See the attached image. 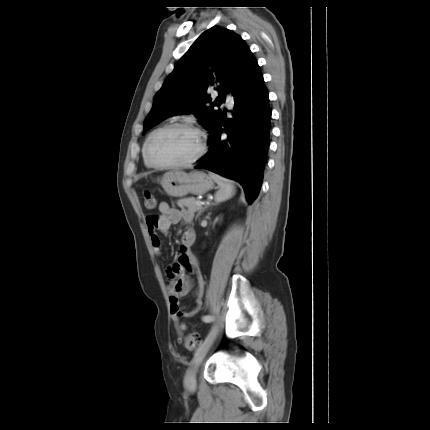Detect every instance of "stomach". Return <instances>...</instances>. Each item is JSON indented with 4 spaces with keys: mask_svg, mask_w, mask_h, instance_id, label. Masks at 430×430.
Masks as SVG:
<instances>
[{
    "mask_svg": "<svg viewBox=\"0 0 430 430\" xmlns=\"http://www.w3.org/2000/svg\"><path fill=\"white\" fill-rule=\"evenodd\" d=\"M161 185L169 196L183 197L187 194H204L213 188L214 183L203 171L186 173L181 170H171L162 176Z\"/></svg>",
    "mask_w": 430,
    "mask_h": 430,
    "instance_id": "1",
    "label": "stomach"
}]
</instances>
